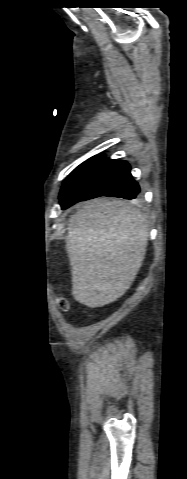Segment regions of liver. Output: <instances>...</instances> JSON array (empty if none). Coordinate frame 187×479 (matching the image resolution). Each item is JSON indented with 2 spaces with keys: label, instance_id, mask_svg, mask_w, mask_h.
Wrapping results in <instances>:
<instances>
[{
  "label": "liver",
  "instance_id": "6515ba94",
  "mask_svg": "<svg viewBox=\"0 0 187 479\" xmlns=\"http://www.w3.org/2000/svg\"><path fill=\"white\" fill-rule=\"evenodd\" d=\"M67 230L75 300L91 308L116 301L142 266L149 237L146 218L127 201L94 199L77 206Z\"/></svg>",
  "mask_w": 187,
  "mask_h": 479
}]
</instances>
